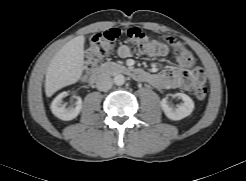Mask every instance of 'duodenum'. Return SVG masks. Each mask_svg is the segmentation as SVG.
Segmentation results:
<instances>
[{"instance_id":"410a0bca","label":"duodenum","mask_w":246,"mask_h":181,"mask_svg":"<svg viewBox=\"0 0 246 181\" xmlns=\"http://www.w3.org/2000/svg\"><path fill=\"white\" fill-rule=\"evenodd\" d=\"M110 73L124 74L136 80H143L146 76L144 71L124 65L107 63L91 74L89 82L93 85H99L104 82L105 77Z\"/></svg>"}]
</instances>
